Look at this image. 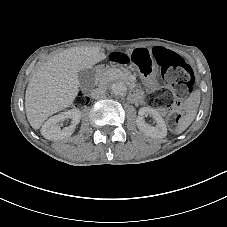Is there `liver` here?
Masks as SVG:
<instances>
[{
  "label": "liver",
  "mask_w": 227,
  "mask_h": 227,
  "mask_svg": "<svg viewBox=\"0 0 227 227\" xmlns=\"http://www.w3.org/2000/svg\"><path fill=\"white\" fill-rule=\"evenodd\" d=\"M99 47H75L52 57L34 72L25 94L26 116L39 129L53 113L72 105L79 87L78 72L103 60Z\"/></svg>",
  "instance_id": "obj_1"
}]
</instances>
